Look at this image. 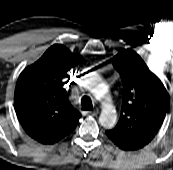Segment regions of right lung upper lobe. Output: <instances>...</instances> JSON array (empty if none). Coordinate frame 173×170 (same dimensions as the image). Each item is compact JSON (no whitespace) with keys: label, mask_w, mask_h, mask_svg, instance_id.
I'll use <instances>...</instances> for the list:
<instances>
[{"label":"right lung upper lobe","mask_w":173,"mask_h":170,"mask_svg":"<svg viewBox=\"0 0 173 170\" xmlns=\"http://www.w3.org/2000/svg\"><path fill=\"white\" fill-rule=\"evenodd\" d=\"M82 57L65 46H51L20 74L14 93V107L25 132L42 144H54L76 127L80 118L63 88L67 72Z\"/></svg>","instance_id":"cb5924a9"}]
</instances>
